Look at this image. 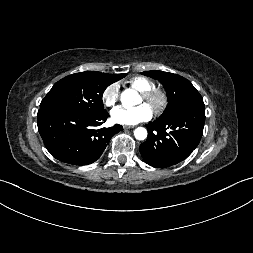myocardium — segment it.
<instances>
[{"instance_id":"f54148a6","label":"myocardium","mask_w":253,"mask_h":253,"mask_svg":"<svg viewBox=\"0 0 253 253\" xmlns=\"http://www.w3.org/2000/svg\"><path fill=\"white\" fill-rule=\"evenodd\" d=\"M141 96L145 103H147L155 113H161L168 103L166 92L159 88L153 87L147 91L141 92Z\"/></svg>"}]
</instances>
